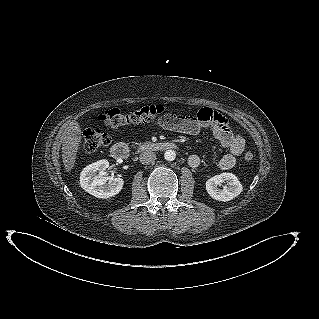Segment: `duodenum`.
<instances>
[{
  "instance_id": "obj_1",
  "label": "duodenum",
  "mask_w": 319,
  "mask_h": 319,
  "mask_svg": "<svg viewBox=\"0 0 319 319\" xmlns=\"http://www.w3.org/2000/svg\"><path fill=\"white\" fill-rule=\"evenodd\" d=\"M176 146L174 143L168 141H159V142H147L144 143L140 149L144 152H156V151H165L169 149H174ZM129 152V148L125 143H117L113 145L110 149V154L115 160L124 159Z\"/></svg>"
}]
</instances>
